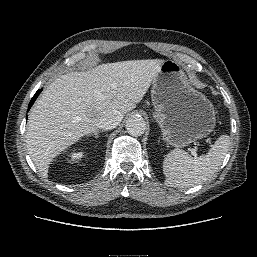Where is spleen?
Segmentation results:
<instances>
[{
    "mask_svg": "<svg viewBox=\"0 0 257 257\" xmlns=\"http://www.w3.org/2000/svg\"><path fill=\"white\" fill-rule=\"evenodd\" d=\"M229 146L230 137L221 135L208 153L197 158L184 150H172L163 161L165 185L190 188L209 180L221 166Z\"/></svg>",
    "mask_w": 257,
    "mask_h": 257,
    "instance_id": "1",
    "label": "spleen"
}]
</instances>
